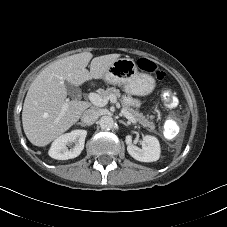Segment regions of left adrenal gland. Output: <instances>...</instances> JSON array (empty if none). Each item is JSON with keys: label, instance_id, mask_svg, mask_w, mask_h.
Masks as SVG:
<instances>
[{"label": "left adrenal gland", "instance_id": "obj_1", "mask_svg": "<svg viewBox=\"0 0 227 227\" xmlns=\"http://www.w3.org/2000/svg\"><path fill=\"white\" fill-rule=\"evenodd\" d=\"M119 122L122 123L125 126H128L129 125L128 123L124 122L123 120H119Z\"/></svg>", "mask_w": 227, "mask_h": 227}]
</instances>
